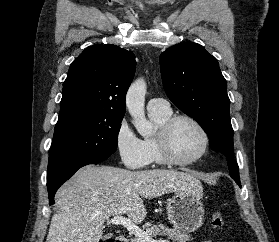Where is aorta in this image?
<instances>
[{"mask_svg": "<svg viewBox=\"0 0 279 242\" xmlns=\"http://www.w3.org/2000/svg\"><path fill=\"white\" fill-rule=\"evenodd\" d=\"M146 84L143 79L133 82L126 95V107L132 117V123L137 132L142 136H148L153 130L144 113Z\"/></svg>", "mask_w": 279, "mask_h": 242, "instance_id": "1", "label": "aorta"}]
</instances>
